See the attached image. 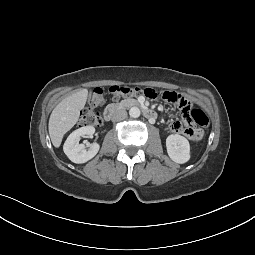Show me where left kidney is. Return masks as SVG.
Here are the masks:
<instances>
[{"label":"left kidney","mask_w":255,"mask_h":255,"mask_svg":"<svg viewBox=\"0 0 255 255\" xmlns=\"http://www.w3.org/2000/svg\"><path fill=\"white\" fill-rule=\"evenodd\" d=\"M166 148L169 157L176 163L184 164L190 159L189 141L178 134H171L166 139Z\"/></svg>","instance_id":"1"}]
</instances>
